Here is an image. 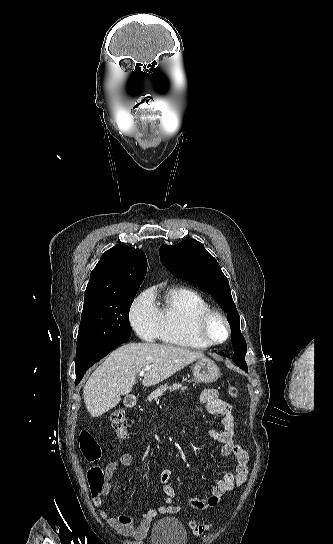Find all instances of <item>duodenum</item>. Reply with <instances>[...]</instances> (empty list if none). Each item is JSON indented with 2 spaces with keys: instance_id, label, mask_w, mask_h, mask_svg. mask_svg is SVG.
Returning a JSON list of instances; mask_svg holds the SVG:
<instances>
[{
  "instance_id": "410a0bca",
  "label": "duodenum",
  "mask_w": 333,
  "mask_h": 544,
  "mask_svg": "<svg viewBox=\"0 0 333 544\" xmlns=\"http://www.w3.org/2000/svg\"><path fill=\"white\" fill-rule=\"evenodd\" d=\"M137 398L133 395H129L125 398V405L129 408H132L136 405Z\"/></svg>"
}]
</instances>
